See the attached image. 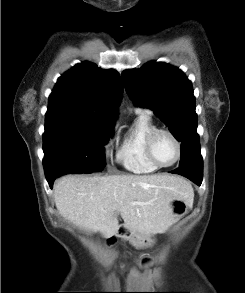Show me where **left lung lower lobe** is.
I'll list each match as a JSON object with an SVG mask.
<instances>
[{
	"mask_svg": "<svg viewBox=\"0 0 245 293\" xmlns=\"http://www.w3.org/2000/svg\"><path fill=\"white\" fill-rule=\"evenodd\" d=\"M171 173L185 176L191 181H193L195 184H197L198 186H200L202 183L203 171L201 170H195L189 167H179L171 171Z\"/></svg>",
	"mask_w": 245,
	"mask_h": 293,
	"instance_id": "obj_1",
	"label": "left lung lower lobe"
}]
</instances>
